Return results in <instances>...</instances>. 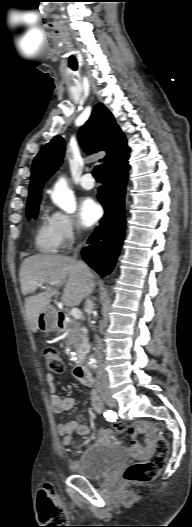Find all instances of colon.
Here are the masks:
<instances>
[{"instance_id":"5ec220e1","label":"colon","mask_w":192,"mask_h":527,"mask_svg":"<svg viewBox=\"0 0 192 527\" xmlns=\"http://www.w3.org/2000/svg\"><path fill=\"white\" fill-rule=\"evenodd\" d=\"M43 356L46 367L50 372L62 373L64 371V362L61 358L59 350L54 346H45L43 348ZM118 431L124 430L121 424H114ZM169 452V444L163 436H159L156 441L154 453L146 462L131 463L123 472L124 480L128 482H150L154 480L160 471L164 468ZM53 487L47 485L41 492L38 499V507L41 513H44L46 508H49L52 513L58 512L64 514L61 507L55 506L53 503Z\"/></svg>"}]
</instances>
